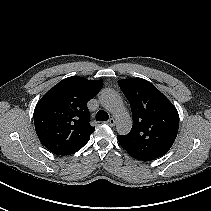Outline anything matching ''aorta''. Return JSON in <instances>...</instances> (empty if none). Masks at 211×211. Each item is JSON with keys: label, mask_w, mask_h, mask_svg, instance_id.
<instances>
[{"label": "aorta", "mask_w": 211, "mask_h": 211, "mask_svg": "<svg viewBox=\"0 0 211 211\" xmlns=\"http://www.w3.org/2000/svg\"><path fill=\"white\" fill-rule=\"evenodd\" d=\"M99 100L101 105L115 118L117 132L126 135L132 128V119L120 97L111 89L101 91Z\"/></svg>", "instance_id": "aorta-1"}]
</instances>
